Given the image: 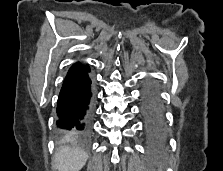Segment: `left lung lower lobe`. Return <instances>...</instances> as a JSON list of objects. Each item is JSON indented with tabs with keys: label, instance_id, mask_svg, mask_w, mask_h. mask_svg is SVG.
<instances>
[{
	"label": "left lung lower lobe",
	"instance_id": "1",
	"mask_svg": "<svg viewBox=\"0 0 223 171\" xmlns=\"http://www.w3.org/2000/svg\"><path fill=\"white\" fill-rule=\"evenodd\" d=\"M141 114L148 139L151 141L162 140L166 134L165 120L156 94L149 85L143 91Z\"/></svg>",
	"mask_w": 223,
	"mask_h": 171
}]
</instances>
